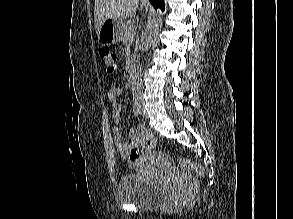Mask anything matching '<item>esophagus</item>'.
<instances>
[{
  "label": "esophagus",
  "instance_id": "esophagus-1",
  "mask_svg": "<svg viewBox=\"0 0 293 219\" xmlns=\"http://www.w3.org/2000/svg\"><path fill=\"white\" fill-rule=\"evenodd\" d=\"M143 4H149V0H142Z\"/></svg>",
  "mask_w": 293,
  "mask_h": 219
}]
</instances>
